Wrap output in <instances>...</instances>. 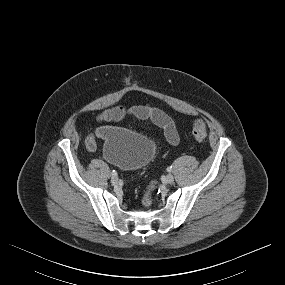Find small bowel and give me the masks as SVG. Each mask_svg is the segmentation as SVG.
I'll list each match as a JSON object with an SVG mask.
<instances>
[{"label": "small bowel", "mask_w": 285, "mask_h": 285, "mask_svg": "<svg viewBox=\"0 0 285 285\" xmlns=\"http://www.w3.org/2000/svg\"><path fill=\"white\" fill-rule=\"evenodd\" d=\"M128 116L151 121L164 131V135L171 145L179 143V135L171 117L152 104H140L131 108L121 106L110 108L100 113L97 119L104 122H119ZM104 133L105 127H99L89 134L85 140L86 148L89 151H94L97 147V140L103 138Z\"/></svg>", "instance_id": "small-bowel-1"}]
</instances>
